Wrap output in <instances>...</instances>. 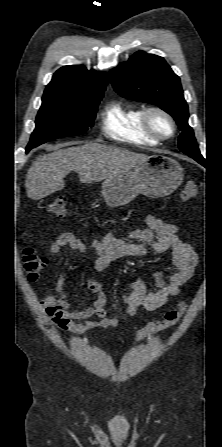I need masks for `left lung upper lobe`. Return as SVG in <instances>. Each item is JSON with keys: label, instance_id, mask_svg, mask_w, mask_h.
I'll use <instances>...</instances> for the list:
<instances>
[{"label": "left lung upper lobe", "instance_id": "1", "mask_svg": "<svg viewBox=\"0 0 222 447\" xmlns=\"http://www.w3.org/2000/svg\"><path fill=\"white\" fill-rule=\"evenodd\" d=\"M109 76L122 97L157 105L169 113L182 131L180 150L190 157L203 158L188 125V106L180 79L162 57L138 51L127 62L110 70Z\"/></svg>", "mask_w": 222, "mask_h": 447}]
</instances>
